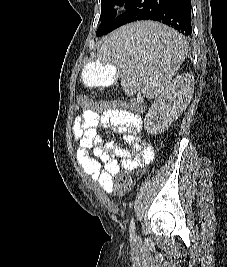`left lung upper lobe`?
Instances as JSON below:
<instances>
[{
  "label": "left lung upper lobe",
  "instance_id": "left-lung-upper-lobe-1",
  "mask_svg": "<svg viewBox=\"0 0 227 267\" xmlns=\"http://www.w3.org/2000/svg\"><path fill=\"white\" fill-rule=\"evenodd\" d=\"M129 0H101V26L106 25L116 17V11L112 9L114 5H123ZM99 27V28H100ZM98 28V29H99Z\"/></svg>",
  "mask_w": 227,
  "mask_h": 267
}]
</instances>
